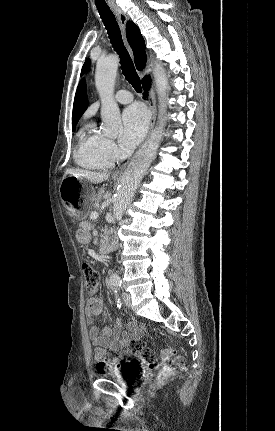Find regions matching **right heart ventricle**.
I'll list each match as a JSON object with an SVG mask.
<instances>
[{"instance_id": "1", "label": "right heart ventricle", "mask_w": 275, "mask_h": 431, "mask_svg": "<svg viewBox=\"0 0 275 431\" xmlns=\"http://www.w3.org/2000/svg\"><path fill=\"white\" fill-rule=\"evenodd\" d=\"M79 143L75 151V161L91 170H104L112 167L114 159L105 151L106 137L93 122L86 123L78 133Z\"/></svg>"}]
</instances>
